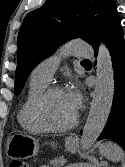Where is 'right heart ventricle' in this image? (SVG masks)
Returning a JSON list of instances; mask_svg holds the SVG:
<instances>
[{
	"mask_svg": "<svg viewBox=\"0 0 125 167\" xmlns=\"http://www.w3.org/2000/svg\"><path fill=\"white\" fill-rule=\"evenodd\" d=\"M48 87V83L31 79L29 90L21 103L17 120L21 127L33 134L43 133L44 130L35 122L33 117V107L40 94Z\"/></svg>",
	"mask_w": 125,
	"mask_h": 167,
	"instance_id": "e07e8e85",
	"label": "right heart ventricle"
}]
</instances>
